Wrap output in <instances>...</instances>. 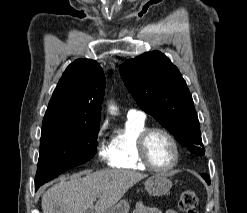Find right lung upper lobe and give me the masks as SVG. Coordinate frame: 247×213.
Wrapping results in <instances>:
<instances>
[{
  "mask_svg": "<svg viewBox=\"0 0 247 213\" xmlns=\"http://www.w3.org/2000/svg\"><path fill=\"white\" fill-rule=\"evenodd\" d=\"M105 77L94 60L77 59L63 73L42 125H99Z\"/></svg>",
  "mask_w": 247,
  "mask_h": 213,
  "instance_id": "right-lung-upper-lobe-1",
  "label": "right lung upper lobe"
}]
</instances>
